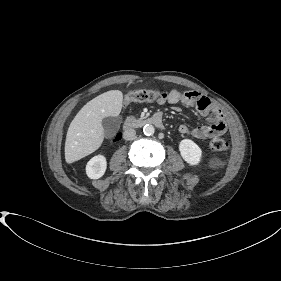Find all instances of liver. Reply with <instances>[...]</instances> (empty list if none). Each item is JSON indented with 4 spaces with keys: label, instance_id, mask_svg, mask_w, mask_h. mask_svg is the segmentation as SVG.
Wrapping results in <instances>:
<instances>
[{
    "label": "liver",
    "instance_id": "liver-1",
    "mask_svg": "<svg viewBox=\"0 0 281 281\" xmlns=\"http://www.w3.org/2000/svg\"><path fill=\"white\" fill-rule=\"evenodd\" d=\"M123 105L120 90L107 91L86 103L76 114L67 131L65 160L73 163L96 151L104 140L102 120L117 117Z\"/></svg>",
    "mask_w": 281,
    "mask_h": 281
}]
</instances>
